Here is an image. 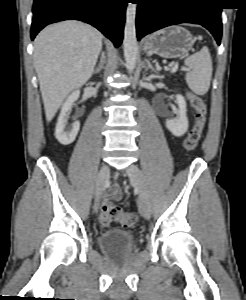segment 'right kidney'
Returning <instances> with one entry per match:
<instances>
[{"instance_id": "obj_1", "label": "right kidney", "mask_w": 246, "mask_h": 300, "mask_svg": "<svg viewBox=\"0 0 246 300\" xmlns=\"http://www.w3.org/2000/svg\"><path fill=\"white\" fill-rule=\"evenodd\" d=\"M79 94V90L72 92L66 99L65 103L62 105L61 113L59 115L55 129V137L62 145L71 144L75 140L80 129V123L79 121H76L72 124V128L70 131H65V125L67 123L66 112L69 106L78 99Z\"/></svg>"}]
</instances>
